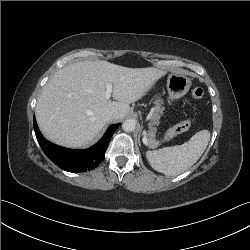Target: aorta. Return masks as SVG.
<instances>
[{"instance_id": "aorta-1", "label": "aorta", "mask_w": 250, "mask_h": 250, "mask_svg": "<svg viewBox=\"0 0 250 250\" xmlns=\"http://www.w3.org/2000/svg\"><path fill=\"white\" fill-rule=\"evenodd\" d=\"M123 130L126 132H132L135 130L136 127V121L133 119H127L126 121H124L123 123Z\"/></svg>"}]
</instances>
